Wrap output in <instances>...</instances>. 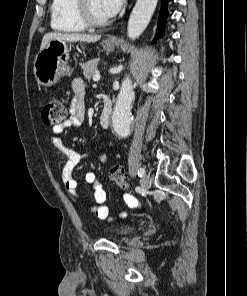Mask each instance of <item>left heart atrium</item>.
<instances>
[{
	"label": "left heart atrium",
	"instance_id": "left-heart-atrium-1",
	"mask_svg": "<svg viewBox=\"0 0 247 296\" xmlns=\"http://www.w3.org/2000/svg\"><path fill=\"white\" fill-rule=\"evenodd\" d=\"M124 0H100V6L103 14L107 17H113L120 10Z\"/></svg>",
	"mask_w": 247,
	"mask_h": 296
}]
</instances>
